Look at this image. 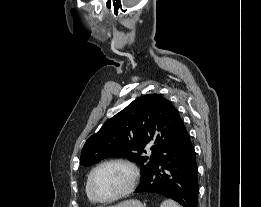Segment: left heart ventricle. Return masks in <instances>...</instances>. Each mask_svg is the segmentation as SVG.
Returning a JSON list of instances; mask_svg holds the SVG:
<instances>
[{
    "instance_id": "1",
    "label": "left heart ventricle",
    "mask_w": 261,
    "mask_h": 207,
    "mask_svg": "<svg viewBox=\"0 0 261 207\" xmlns=\"http://www.w3.org/2000/svg\"><path fill=\"white\" fill-rule=\"evenodd\" d=\"M131 173L122 165H107L94 175L93 188L100 198H110L123 191L130 183Z\"/></svg>"
}]
</instances>
